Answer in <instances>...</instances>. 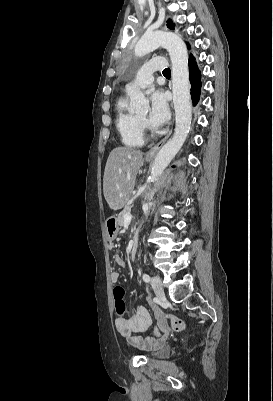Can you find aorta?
<instances>
[{
    "mask_svg": "<svg viewBox=\"0 0 273 401\" xmlns=\"http://www.w3.org/2000/svg\"><path fill=\"white\" fill-rule=\"evenodd\" d=\"M159 46L167 49L172 64V92L175 109V129L173 136L159 150L152 165L149 182H156L164 169L173 160L183 146L191 128L192 106L190 101V83L188 53L183 40L172 32L156 31L143 35L135 46V55L143 57ZM132 109L136 113L148 111L149 101L141 91L130 95Z\"/></svg>",
    "mask_w": 273,
    "mask_h": 401,
    "instance_id": "obj_1",
    "label": "aorta"
}]
</instances>
